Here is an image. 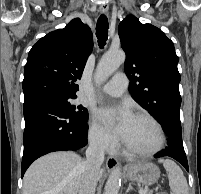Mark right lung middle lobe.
I'll use <instances>...</instances> for the list:
<instances>
[{
  "mask_svg": "<svg viewBox=\"0 0 201 194\" xmlns=\"http://www.w3.org/2000/svg\"><path fill=\"white\" fill-rule=\"evenodd\" d=\"M39 98L51 101L55 104L60 105L67 113H69L76 120L81 122H87L88 120V111L82 105H72L71 99L76 97L72 96H61V95H45Z\"/></svg>",
  "mask_w": 201,
  "mask_h": 194,
  "instance_id": "1",
  "label": "right lung middle lobe"
}]
</instances>
